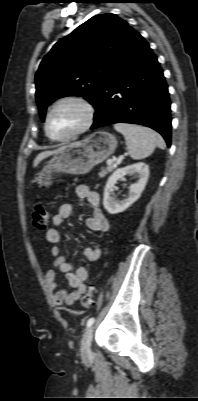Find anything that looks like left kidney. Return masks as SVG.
Returning a JSON list of instances; mask_svg holds the SVG:
<instances>
[{
  "mask_svg": "<svg viewBox=\"0 0 198 401\" xmlns=\"http://www.w3.org/2000/svg\"><path fill=\"white\" fill-rule=\"evenodd\" d=\"M127 174H133L138 177V181L129 188V196L124 200H117L114 195V187L119 179ZM149 177V167L145 163H136L124 168L117 169L108 179L105 189L103 205L110 214H117L125 211L134 202H136L143 192Z\"/></svg>",
  "mask_w": 198,
  "mask_h": 401,
  "instance_id": "1",
  "label": "left kidney"
}]
</instances>
